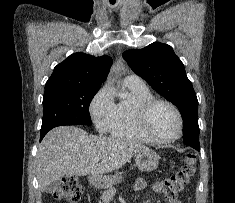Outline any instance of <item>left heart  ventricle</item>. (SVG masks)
Instances as JSON below:
<instances>
[{
    "instance_id": "obj_1",
    "label": "left heart ventricle",
    "mask_w": 235,
    "mask_h": 203,
    "mask_svg": "<svg viewBox=\"0 0 235 203\" xmlns=\"http://www.w3.org/2000/svg\"><path fill=\"white\" fill-rule=\"evenodd\" d=\"M148 127L156 137L170 139L178 133V120L169 106L157 104L149 114Z\"/></svg>"
}]
</instances>
